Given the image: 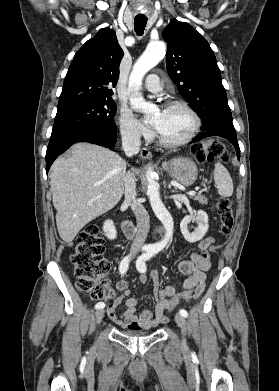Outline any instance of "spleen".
<instances>
[{
    "label": "spleen",
    "instance_id": "obj_1",
    "mask_svg": "<svg viewBox=\"0 0 279 391\" xmlns=\"http://www.w3.org/2000/svg\"><path fill=\"white\" fill-rule=\"evenodd\" d=\"M214 181L220 196L230 197L233 194L232 178L228 170L220 162L215 164Z\"/></svg>",
    "mask_w": 279,
    "mask_h": 391
}]
</instances>
